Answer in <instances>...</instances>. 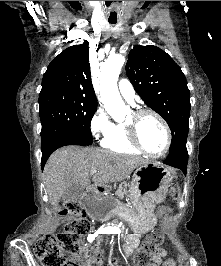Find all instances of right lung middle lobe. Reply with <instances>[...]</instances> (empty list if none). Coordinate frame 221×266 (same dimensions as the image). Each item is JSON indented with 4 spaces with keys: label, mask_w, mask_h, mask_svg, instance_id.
Here are the masks:
<instances>
[{
    "label": "right lung middle lobe",
    "mask_w": 221,
    "mask_h": 266,
    "mask_svg": "<svg viewBox=\"0 0 221 266\" xmlns=\"http://www.w3.org/2000/svg\"><path fill=\"white\" fill-rule=\"evenodd\" d=\"M39 107L42 149L62 140L92 144L90 122L97 109L96 102L63 90H46L40 92Z\"/></svg>",
    "instance_id": "dd1d6c3e"
}]
</instances>
